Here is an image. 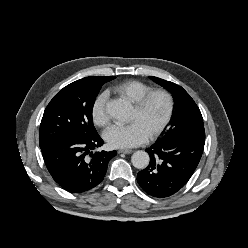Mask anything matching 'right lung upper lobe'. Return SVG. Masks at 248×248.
I'll use <instances>...</instances> for the list:
<instances>
[{"mask_svg": "<svg viewBox=\"0 0 248 248\" xmlns=\"http://www.w3.org/2000/svg\"><path fill=\"white\" fill-rule=\"evenodd\" d=\"M115 77L113 76H109V77H105V76H89L83 79H80V81H87V82H95V83H106L108 81L113 80Z\"/></svg>", "mask_w": 248, "mask_h": 248, "instance_id": "cb5924a9", "label": "right lung upper lobe"}]
</instances>
